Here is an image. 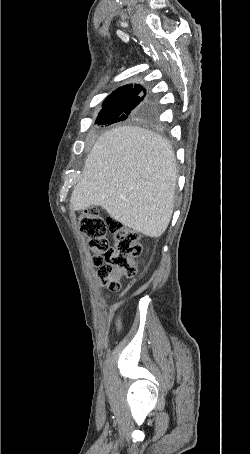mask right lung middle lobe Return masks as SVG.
<instances>
[{"label": "right lung middle lobe", "instance_id": "right-lung-middle-lobe-1", "mask_svg": "<svg viewBox=\"0 0 250 454\" xmlns=\"http://www.w3.org/2000/svg\"><path fill=\"white\" fill-rule=\"evenodd\" d=\"M124 93V94H123ZM119 96L106 98L96 124L111 125L121 121L152 122L157 113L153 99L143 86H137Z\"/></svg>", "mask_w": 250, "mask_h": 454}]
</instances>
